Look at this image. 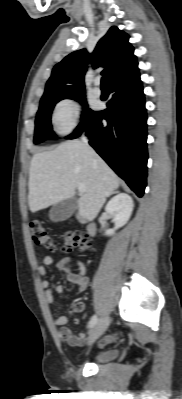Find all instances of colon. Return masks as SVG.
<instances>
[{"label":"colon","mask_w":182,"mask_h":399,"mask_svg":"<svg viewBox=\"0 0 182 399\" xmlns=\"http://www.w3.org/2000/svg\"><path fill=\"white\" fill-rule=\"evenodd\" d=\"M30 233L33 241L36 244L48 249L56 248V244L54 243L46 227L40 220L35 219L31 221ZM73 248H79L80 250H89L90 243L88 236L80 232L67 233L66 235H64L61 249L64 251H69Z\"/></svg>","instance_id":"colon-1"}]
</instances>
